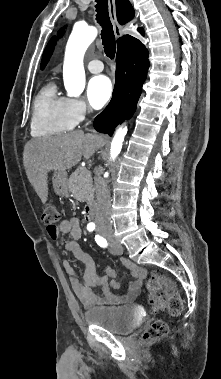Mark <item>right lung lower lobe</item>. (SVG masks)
Instances as JSON below:
<instances>
[{"instance_id":"1","label":"right lung lower lobe","mask_w":221,"mask_h":379,"mask_svg":"<svg viewBox=\"0 0 221 379\" xmlns=\"http://www.w3.org/2000/svg\"><path fill=\"white\" fill-rule=\"evenodd\" d=\"M139 32L143 35L142 29ZM149 65L148 50L138 39L126 35L118 40L113 96L94 120L97 131L112 136L114 128L133 115Z\"/></svg>"}]
</instances>
